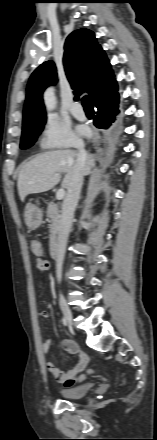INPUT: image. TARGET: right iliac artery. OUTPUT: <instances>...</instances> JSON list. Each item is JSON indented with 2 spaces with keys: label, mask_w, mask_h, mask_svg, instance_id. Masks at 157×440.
Masks as SVG:
<instances>
[{
  "label": "right iliac artery",
  "mask_w": 157,
  "mask_h": 440,
  "mask_svg": "<svg viewBox=\"0 0 157 440\" xmlns=\"http://www.w3.org/2000/svg\"><path fill=\"white\" fill-rule=\"evenodd\" d=\"M62 323H63V325H64V326H66V325H67V321H66V319H65V318H62Z\"/></svg>",
  "instance_id": "obj_1"
}]
</instances>
